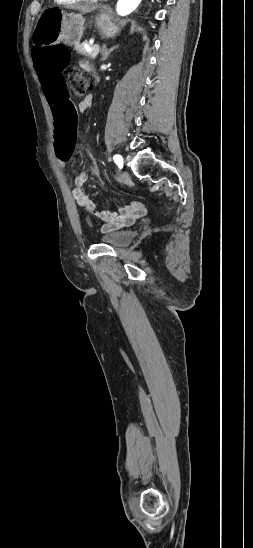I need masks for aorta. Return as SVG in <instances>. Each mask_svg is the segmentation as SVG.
Masks as SVG:
<instances>
[{"label": "aorta", "mask_w": 253, "mask_h": 548, "mask_svg": "<svg viewBox=\"0 0 253 548\" xmlns=\"http://www.w3.org/2000/svg\"><path fill=\"white\" fill-rule=\"evenodd\" d=\"M141 1L142 0H118L116 11L120 16L128 15L137 8Z\"/></svg>", "instance_id": "762f6f07"}]
</instances>
